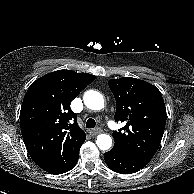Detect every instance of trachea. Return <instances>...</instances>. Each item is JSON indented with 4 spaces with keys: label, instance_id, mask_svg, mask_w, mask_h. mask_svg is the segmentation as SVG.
Segmentation results:
<instances>
[{
    "label": "trachea",
    "instance_id": "trachea-1",
    "mask_svg": "<svg viewBox=\"0 0 194 194\" xmlns=\"http://www.w3.org/2000/svg\"><path fill=\"white\" fill-rule=\"evenodd\" d=\"M96 126V122L93 118H89L86 122V127L88 129L94 128Z\"/></svg>",
    "mask_w": 194,
    "mask_h": 194
}]
</instances>
